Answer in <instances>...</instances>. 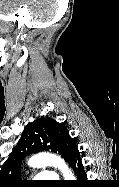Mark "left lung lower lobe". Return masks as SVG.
I'll return each instance as SVG.
<instances>
[{
	"instance_id": "0a47b994",
	"label": "left lung lower lobe",
	"mask_w": 119,
	"mask_h": 187,
	"mask_svg": "<svg viewBox=\"0 0 119 187\" xmlns=\"http://www.w3.org/2000/svg\"><path fill=\"white\" fill-rule=\"evenodd\" d=\"M67 162L77 176V182H84L86 180V173L80 158L77 144L72 147Z\"/></svg>"
}]
</instances>
